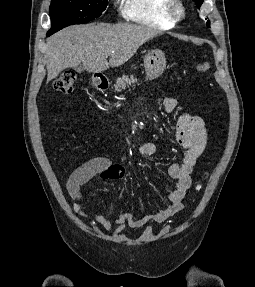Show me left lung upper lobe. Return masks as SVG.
I'll use <instances>...</instances> for the list:
<instances>
[{
    "instance_id": "obj_1",
    "label": "left lung upper lobe",
    "mask_w": 255,
    "mask_h": 287,
    "mask_svg": "<svg viewBox=\"0 0 255 287\" xmlns=\"http://www.w3.org/2000/svg\"><path fill=\"white\" fill-rule=\"evenodd\" d=\"M197 4V6L200 8L204 0H194ZM207 27H210V22L207 21Z\"/></svg>"
}]
</instances>
